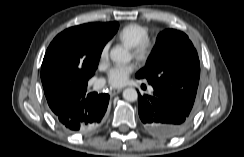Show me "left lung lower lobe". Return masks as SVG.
<instances>
[{"mask_svg":"<svg viewBox=\"0 0 244 157\" xmlns=\"http://www.w3.org/2000/svg\"><path fill=\"white\" fill-rule=\"evenodd\" d=\"M152 87L154 91L150 95L138 93V113L145 128L160 138L180 135L193 119L192 108L181 105L156 85Z\"/></svg>","mask_w":244,"mask_h":157,"instance_id":"left-lung-lower-lobe-1","label":"left lung lower lobe"}]
</instances>
